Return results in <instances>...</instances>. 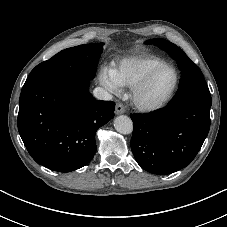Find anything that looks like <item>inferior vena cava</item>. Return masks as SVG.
Masks as SVG:
<instances>
[{
    "instance_id": "inferior-vena-cava-1",
    "label": "inferior vena cava",
    "mask_w": 227,
    "mask_h": 227,
    "mask_svg": "<svg viewBox=\"0 0 227 227\" xmlns=\"http://www.w3.org/2000/svg\"><path fill=\"white\" fill-rule=\"evenodd\" d=\"M93 94L98 100H112V95L101 87L95 88Z\"/></svg>"
}]
</instances>
